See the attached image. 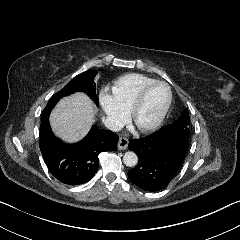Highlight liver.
Returning <instances> with one entry per match:
<instances>
[{
	"mask_svg": "<svg viewBox=\"0 0 240 240\" xmlns=\"http://www.w3.org/2000/svg\"><path fill=\"white\" fill-rule=\"evenodd\" d=\"M98 109L84 91L61 97L49 114L52 133L65 145L84 140L97 121Z\"/></svg>",
	"mask_w": 240,
	"mask_h": 240,
	"instance_id": "liver-1",
	"label": "liver"
}]
</instances>
